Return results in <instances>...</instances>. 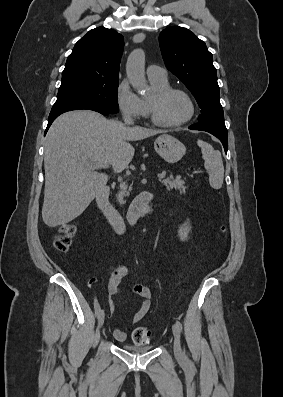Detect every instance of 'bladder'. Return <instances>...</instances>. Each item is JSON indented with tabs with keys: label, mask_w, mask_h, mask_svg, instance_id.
<instances>
[{
	"label": "bladder",
	"mask_w": 283,
	"mask_h": 397,
	"mask_svg": "<svg viewBox=\"0 0 283 397\" xmlns=\"http://www.w3.org/2000/svg\"><path fill=\"white\" fill-rule=\"evenodd\" d=\"M153 347H154L153 345H147V346L124 345L123 349L131 353L142 354L151 351Z\"/></svg>",
	"instance_id": "1"
}]
</instances>
